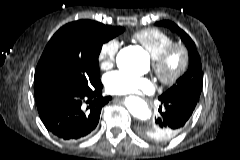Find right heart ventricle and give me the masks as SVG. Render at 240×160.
I'll list each match as a JSON object with an SVG mask.
<instances>
[{
    "label": "right heart ventricle",
    "mask_w": 240,
    "mask_h": 160,
    "mask_svg": "<svg viewBox=\"0 0 240 160\" xmlns=\"http://www.w3.org/2000/svg\"><path fill=\"white\" fill-rule=\"evenodd\" d=\"M133 39L140 43L152 56H158L173 40L172 37L156 28H146L133 34Z\"/></svg>",
    "instance_id": "right-heart-ventricle-1"
}]
</instances>
